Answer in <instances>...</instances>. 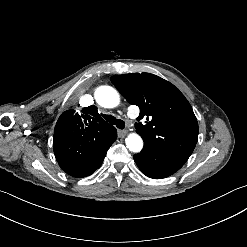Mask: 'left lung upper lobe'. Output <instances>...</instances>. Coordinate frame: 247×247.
I'll list each match as a JSON object with an SVG mask.
<instances>
[{"label": "left lung upper lobe", "instance_id": "1", "mask_svg": "<svg viewBox=\"0 0 247 247\" xmlns=\"http://www.w3.org/2000/svg\"><path fill=\"white\" fill-rule=\"evenodd\" d=\"M110 80L130 104L140 108L135 128L144 144L186 162L197 143L198 123L184 95L150 73L114 75ZM143 118L145 124L140 122Z\"/></svg>", "mask_w": 247, "mask_h": 247}]
</instances>
